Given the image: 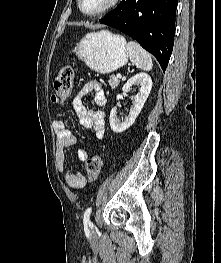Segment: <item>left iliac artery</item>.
Wrapping results in <instances>:
<instances>
[{
    "instance_id": "1",
    "label": "left iliac artery",
    "mask_w": 221,
    "mask_h": 263,
    "mask_svg": "<svg viewBox=\"0 0 221 263\" xmlns=\"http://www.w3.org/2000/svg\"><path fill=\"white\" fill-rule=\"evenodd\" d=\"M92 208L89 207L86 209V211L84 212V217H83V221L85 224L88 225H92V223L90 222V214H91Z\"/></svg>"
}]
</instances>
